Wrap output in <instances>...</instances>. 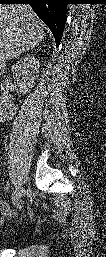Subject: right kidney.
<instances>
[{
  "mask_svg": "<svg viewBox=\"0 0 106 257\" xmlns=\"http://www.w3.org/2000/svg\"><path fill=\"white\" fill-rule=\"evenodd\" d=\"M39 69V60L35 56H27L14 64L11 68L12 77L16 79V88L20 92H27L35 83V74ZM11 76H7L1 84L3 91L0 97V107L2 109H12L13 103L9 95V83L12 80Z\"/></svg>",
  "mask_w": 106,
  "mask_h": 257,
  "instance_id": "1",
  "label": "right kidney"
}]
</instances>
